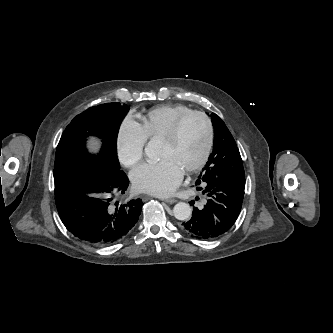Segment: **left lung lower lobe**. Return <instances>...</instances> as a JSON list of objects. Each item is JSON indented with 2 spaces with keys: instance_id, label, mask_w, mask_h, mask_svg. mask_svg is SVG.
Masks as SVG:
<instances>
[{
  "instance_id": "left-lung-lower-lobe-1",
  "label": "left lung lower lobe",
  "mask_w": 333,
  "mask_h": 333,
  "mask_svg": "<svg viewBox=\"0 0 333 333\" xmlns=\"http://www.w3.org/2000/svg\"><path fill=\"white\" fill-rule=\"evenodd\" d=\"M197 190L207 195L203 208L194 207L183 228L198 239H213L227 232L236 221L243 202L245 178L221 180L210 173L198 177ZM191 201V205H194Z\"/></svg>"
}]
</instances>
